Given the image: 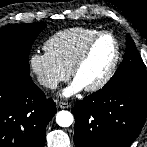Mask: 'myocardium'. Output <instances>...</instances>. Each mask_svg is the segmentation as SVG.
<instances>
[{"label": "myocardium", "instance_id": "myocardium-1", "mask_svg": "<svg viewBox=\"0 0 147 147\" xmlns=\"http://www.w3.org/2000/svg\"><path fill=\"white\" fill-rule=\"evenodd\" d=\"M104 36H109L112 38L114 45H115V55H114V58L111 62L110 67L108 68V70L104 74V76L100 80H98L96 83H94L90 86L84 87V89L88 92H96V91L101 90L112 79V77L117 69V66L119 64L120 57H121V47H120V43H119L118 39L116 38V36L109 31H99L98 33H96L84 45V47L82 48L81 52L77 56L76 60L74 61L73 65L71 67V70H70L72 77L75 79L78 70L81 68V66L86 61L94 44L101 37H104Z\"/></svg>", "mask_w": 147, "mask_h": 147}]
</instances>
